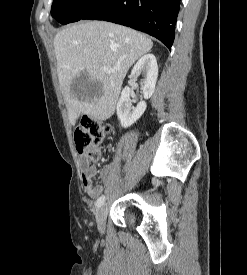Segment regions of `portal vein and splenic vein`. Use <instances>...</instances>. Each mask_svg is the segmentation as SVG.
Listing matches in <instances>:
<instances>
[{
  "instance_id": "18ae733b",
  "label": "portal vein and splenic vein",
  "mask_w": 247,
  "mask_h": 275,
  "mask_svg": "<svg viewBox=\"0 0 247 275\" xmlns=\"http://www.w3.org/2000/svg\"><path fill=\"white\" fill-rule=\"evenodd\" d=\"M102 69H103L104 72H112V71H114V69H109L106 66H104Z\"/></svg>"
}]
</instances>
